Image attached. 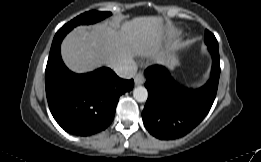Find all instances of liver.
Wrapping results in <instances>:
<instances>
[{"label": "liver", "mask_w": 261, "mask_h": 162, "mask_svg": "<svg viewBox=\"0 0 261 162\" xmlns=\"http://www.w3.org/2000/svg\"><path fill=\"white\" fill-rule=\"evenodd\" d=\"M164 33L163 19L156 16L79 26L64 39L61 54L66 66L76 73L92 71L102 64L110 68L128 64L136 56L155 57L165 64L168 61L159 52Z\"/></svg>", "instance_id": "obj_1"}]
</instances>
